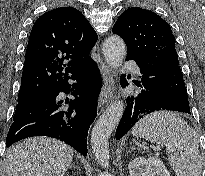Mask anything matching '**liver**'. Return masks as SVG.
Returning <instances> with one entry per match:
<instances>
[{
	"label": "liver",
	"instance_id": "obj_1",
	"mask_svg": "<svg viewBox=\"0 0 205 176\" xmlns=\"http://www.w3.org/2000/svg\"><path fill=\"white\" fill-rule=\"evenodd\" d=\"M73 149L49 137H31L12 146L6 157V176H64Z\"/></svg>",
	"mask_w": 205,
	"mask_h": 176
}]
</instances>
